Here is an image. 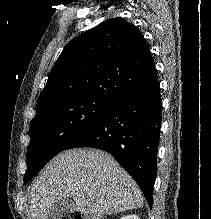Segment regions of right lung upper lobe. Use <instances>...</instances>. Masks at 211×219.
Wrapping results in <instances>:
<instances>
[{
  "instance_id": "1",
  "label": "right lung upper lobe",
  "mask_w": 211,
  "mask_h": 219,
  "mask_svg": "<svg viewBox=\"0 0 211 219\" xmlns=\"http://www.w3.org/2000/svg\"><path fill=\"white\" fill-rule=\"evenodd\" d=\"M155 74L139 29L122 18L109 19L65 46L38 99L35 118L72 99L100 97L114 102Z\"/></svg>"
}]
</instances>
